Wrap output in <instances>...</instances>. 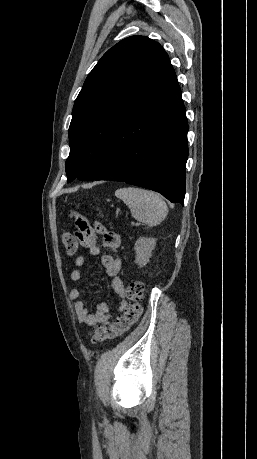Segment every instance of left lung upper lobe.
I'll return each mask as SVG.
<instances>
[{
    "instance_id": "left-lung-upper-lobe-1",
    "label": "left lung upper lobe",
    "mask_w": 257,
    "mask_h": 459,
    "mask_svg": "<svg viewBox=\"0 0 257 459\" xmlns=\"http://www.w3.org/2000/svg\"><path fill=\"white\" fill-rule=\"evenodd\" d=\"M168 59L161 45L131 36L110 48L86 78L69 127L67 182L94 180L110 157L113 135Z\"/></svg>"
}]
</instances>
